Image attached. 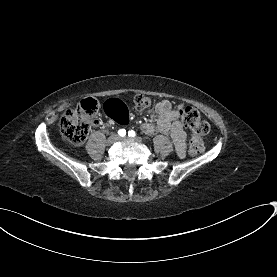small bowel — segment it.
Here are the masks:
<instances>
[{"mask_svg": "<svg viewBox=\"0 0 277 277\" xmlns=\"http://www.w3.org/2000/svg\"><path fill=\"white\" fill-rule=\"evenodd\" d=\"M155 117L141 126L143 133L152 135L156 131L171 135L178 156L185 155L186 133L179 120V113L172 108L168 100H161L155 104Z\"/></svg>", "mask_w": 277, "mask_h": 277, "instance_id": "c3829d8e", "label": "small bowel"}]
</instances>
